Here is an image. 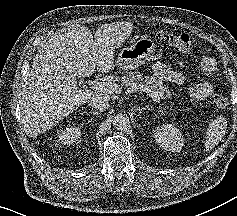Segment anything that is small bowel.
Wrapping results in <instances>:
<instances>
[{
    "label": "small bowel",
    "mask_w": 237,
    "mask_h": 216,
    "mask_svg": "<svg viewBox=\"0 0 237 216\" xmlns=\"http://www.w3.org/2000/svg\"><path fill=\"white\" fill-rule=\"evenodd\" d=\"M200 70L206 75H212L216 71L215 61L212 58H204L200 63ZM153 73L160 80L176 85H180L184 81V77L180 72L161 62L154 64ZM189 93L194 99H204L212 94V87L206 82L197 83L190 87Z\"/></svg>",
    "instance_id": "1"
}]
</instances>
